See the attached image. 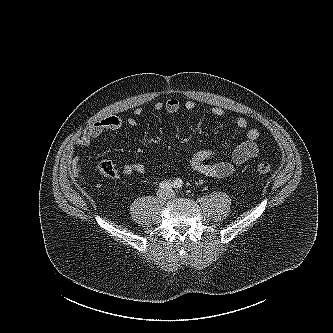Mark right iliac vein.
Listing matches in <instances>:
<instances>
[{"label":"right iliac vein","mask_w":333,"mask_h":333,"mask_svg":"<svg viewBox=\"0 0 333 333\" xmlns=\"http://www.w3.org/2000/svg\"><path fill=\"white\" fill-rule=\"evenodd\" d=\"M158 196H159L160 198H165V197H167V192H165V191H159V192H158Z\"/></svg>","instance_id":"obj_1"}]
</instances>
